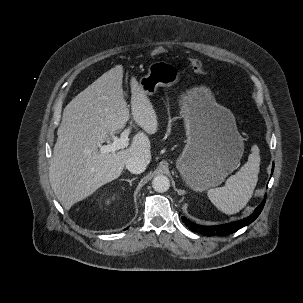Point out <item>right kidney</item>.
Returning <instances> with one entry per match:
<instances>
[{
    "mask_svg": "<svg viewBox=\"0 0 303 303\" xmlns=\"http://www.w3.org/2000/svg\"><path fill=\"white\" fill-rule=\"evenodd\" d=\"M111 199L113 200V199H114V197H112ZM111 199H110V198L106 199V200H105V204H109V203H110V201H111Z\"/></svg>",
    "mask_w": 303,
    "mask_h": 303,
    "instance_id": "obj_1",
    "label": "right kidney"
}]
</instances>
